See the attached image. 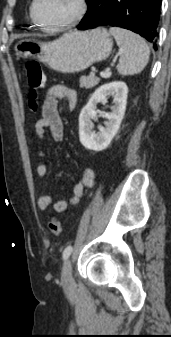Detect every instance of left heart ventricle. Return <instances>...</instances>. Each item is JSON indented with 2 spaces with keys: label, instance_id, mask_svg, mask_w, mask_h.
Returning <instances> with one entry per match:
<instances>
[{
  "label": "left heart ventricle",
  "instance_id": "left-heart-ventricle-1",
  "mask_svg": "<svg viewBox=\"0 0 171 337\" xmlns=\"http://www.w3.org/2000/svg\"><path fill=\"white\" fill-rule=\"evenodd\" d=\"M76 10V0H38L36 5L38 18L47 25H57L67 21Z\"/></svg>",
  "mask_w": 171,
  "mask_h": 337
}]
</instances>
